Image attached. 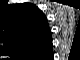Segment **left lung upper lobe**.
Segmentation results:
<instances>
[{
  "mask_svg": "<svg viewBox=\"0 0 80 60\" xmlns=\"http://www.w3.org/2000/svg\"><path fill=\"white\" fill-rule=\"evenodd\" d=\"M15 12L17 18L23 20L14 41V48L19 51L37 43L39 35L37 37V32L34 31V22L36 17L38 23L42 22L45 18L43 13L33 4H20L15 7Z\"/></svg>",
  "mask_w": 80,
  "mask_h": 60,
  "instance_id": "left-lung-upper-lobe-1",
  "label": "left lung upper lobe"
}]
</instances>
